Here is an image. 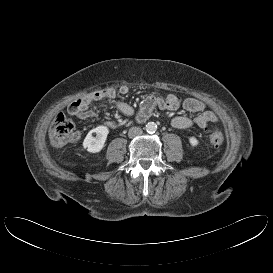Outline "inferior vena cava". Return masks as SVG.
Segmentation results:
<instances>
[{
  "label": "inferior vena cava",
  "instance_id": "inferior-vena-cava-1",
  "mask_svg": "<svg viewBox=\"0 0 273 273\" xmlns=\"http://www.w3.org/2000/svg\"><path fill=\"white\" fill-rule=\"evenodd\" d=\"M142 129L140 127H132L129 129L128 136L129 138H135L142 135Z\"/></svg>",
  "mask_w": 273,
  "mask_h": 273
}]
</instances>
